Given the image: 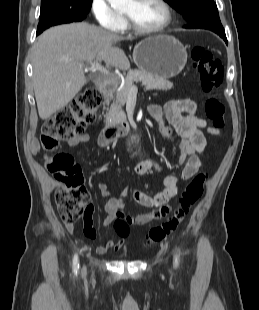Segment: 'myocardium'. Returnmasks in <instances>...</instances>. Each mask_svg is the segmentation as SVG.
Wrapping results in <instances>:
<instances>
[{"mask_svg": "<svg viewBox=\"0 0 259 310\" xmlns=\"http://www.w3.org/2000/svg\"><path fill=\"white\" fill-rule=\"evenodd\" d=\"M157 2L165 11V19L160 25L154 28H142L138 26L129 15L124 14L128 27L132 31L142 35L158 34L166 30L173 21V10L167 0H157Z\"/></svg>", "mask_w": 259, "mask_h": 310, "instance_id": "myocardium-1", "label": "myocardium"}]
</instances>
